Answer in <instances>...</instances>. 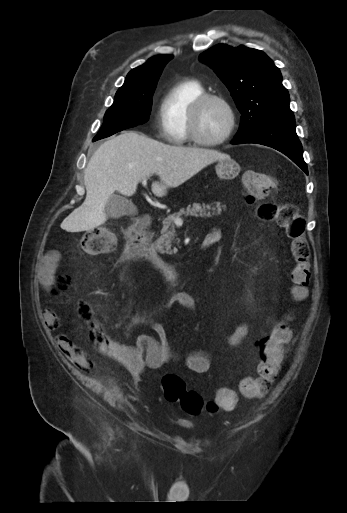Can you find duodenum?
<instances>
[{
	"label": "duodenum",
	"mask_w": 347,
	"mask_h": 513,
	"mask_svg": "<svg viewBox=\"0 0 347 513\" xmlns=\"http://www.w3.org/2000/svg\"><path fill=\"white\" fill-rule=\"evenodd\" d=\"M151 224V216L144 214L138 217L134 223L126 231L128 240L127 253L130 257L137 260L147 261L155 264L165 272H167L172 281L178 282L182 280V273L176 264H171L160 259L149 247L150 236L149 229ZM218 237L215 233H208L202 242V248L206 249L217 241Z\"/></svg>",
	"instance_id": "1"
}]
</instances>
